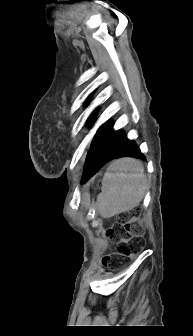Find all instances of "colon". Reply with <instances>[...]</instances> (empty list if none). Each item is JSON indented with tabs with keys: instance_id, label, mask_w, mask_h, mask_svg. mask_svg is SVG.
Returning <instances> with one entry per match:
<instances>
[{
	"instance_id": "1",
	"label": "colon",
	"mask_w": 193,
	"mask_h": 336,
	"mask_svg": "<svg viewBox=\"0 0 193 336\" xmlns=\"http://www.w3.org/2000/svg\"><path fill=\"white\" fill-rule=\"evenodd\" d=\"M117 224L123 228L119 232L111 228L108 231V236L111 239H119L118 254L122 257H131L135 255L141 247V238L144 235V227L137 221L131 213L121 215ZM112 256L107 255L103 258L104 266H109L112 262Z\"/></svg>"
}]
</instances>
